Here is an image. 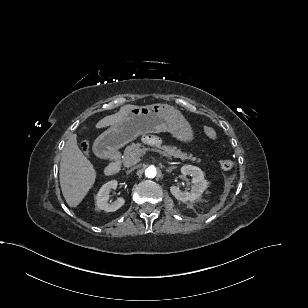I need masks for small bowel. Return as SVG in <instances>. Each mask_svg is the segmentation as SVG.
I'll return each instance as SVG.
<instances>
[{"label": "small bowel", "instance_id": "c3829d8e", "mask_svg": "<svg viewBox=\"0 0 308 308\" xmlns=\"http://www.w3.org/2000/svg\"><path fill=\"white\" fill-rule=\"evenodd\" d=\"M144 141L149 144H158L160 142L159 138L156 136H145Z\"/></svg>", "mask_w": 308, "mask_h": 308}]
</instances>
